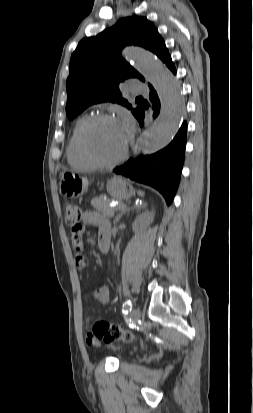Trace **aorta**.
Segmentation results:
<instances>
[{
    "label": "aorta",
    "instance_id": "1",
    "mask_svg": "<svg viewBox=\"0 0 253 413\" xmlns=\"http://www.w3.org/2000/svg\"><path fill=\"white\" fill-rule=\"evenodd\" d=\"M124 54L153 85L161 101L159 116L139 143L143 154H153L176 135L185 113L184 98L173 75L154 54L139 47H128Z\"/></svg>",
    "mask_w": 253,
    "mask_h": 413
}]
</instances>
